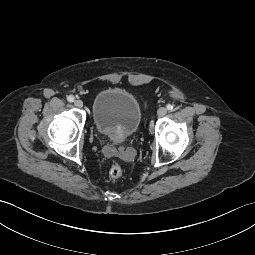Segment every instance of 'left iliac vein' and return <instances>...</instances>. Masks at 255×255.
Masks as SVG:
<instances>
[{
	"mask_svg": "<svg viewBox=\"0 0 255 255\" xmlns=\"http://www.w3.org/2000/svg\"><path fill=\"white\" fill-rule=\"evenodd\" d=\"M157 114L159 117H163L167 114V109L164 107H161L158 109Z\"/></svg>",
	"mask_w": 255,
	"mask_h": 255,
	"instance_id": "4c4485c4",
	"label": "left iliac vein"
}]
</instances>
